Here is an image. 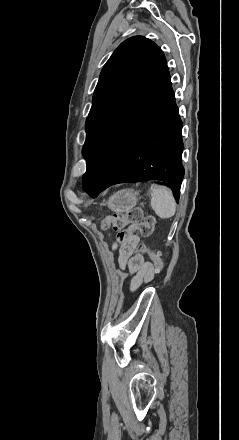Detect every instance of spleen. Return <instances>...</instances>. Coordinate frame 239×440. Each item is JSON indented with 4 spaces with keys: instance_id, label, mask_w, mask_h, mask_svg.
<instances>
[{
    "instance_id": "1",
    "label": "spleen",
    "mask_w": 239,
    "mask_h": 440,
    "mask_svg": "<svg viewBox=\"0 0 239 440\" xmlns=\"http://www.w3.org/2000/svg\"><path fill=\"white\" fill-rule=\"evenodd\" d=\"M151 206L159 218H172L176 212L173 192L167 186H151Z\"/></svg>"
}]
</instances>
